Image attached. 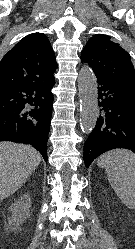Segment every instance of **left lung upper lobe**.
Returning <instances> with one entry per match:
<instances>
[{
    "instance_id": "1",
    "label": "left lung upper lobe",
    "mask_w": 135,
    "mask_h": 249,
    "mask_svg": "<svg viewBox=\"0 0 135 249\" xmlns=\"http://www.w3.org/2000/svg\"><path fill=\"white\" fill-rule=\"evenodd\" d=\"M82 62L88 63L97 79L135 88V72L131 57L105 34L91 37L82 50Z\"/></svg>"
}]
</instances>
